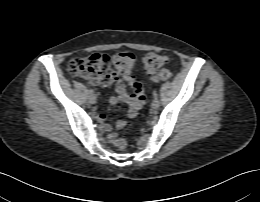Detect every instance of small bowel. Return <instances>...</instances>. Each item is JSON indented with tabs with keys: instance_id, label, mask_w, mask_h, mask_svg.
Instances as JSON below:
<instances>
[{
	"instance_id": "1",
	"label": "small bowel",
	"mask_w": 260,
	"mask_h": 202,
	"mask_svg": "<svg viewBox=\"0 0 260 202\" xmlns=\"http://www.w3.org/2000/svg\"><path fill=\"white\" fill-rule=\"evenodd\" d=\"M128 82L130 87L133 90L131 95L127 94L125 85L121 79H118L116 82V92L117 96H112L110 98V103L112 105H116L118 103H126L129 106L128 115L130 118H134L139 113L140 109L143 107L146 100V90L145 86L135 80L133 77L128 78ZM98 121L102 124V127L105 131H111L112 126L106 123L107 115L104 113L97 115ZM125 126V121L122 119H118L115 122V127L117 129H122ZM111 135L109 136V140L112 141Z\"/></svg>"
}]
</instances>
